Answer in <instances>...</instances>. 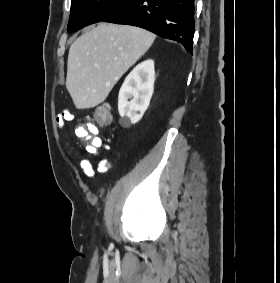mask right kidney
I'll return each instance as SVG.
<instances>
[{"label":"right kidney","instance_id":"right-kidney-1","mask_svg":"<svg viewBox=\"0 0 280 283\" xmlns=\"http://www.w3.org/2000/svg\"><path fill=\"white\" fill-rule=\"evenodd\" d=\"M154 81V61L151 59L138 64L126 77L118 96L123 127H130L142 118L153 95Z\"/></svg>","mask_w":280,"mask_h":283}]
</instances>
